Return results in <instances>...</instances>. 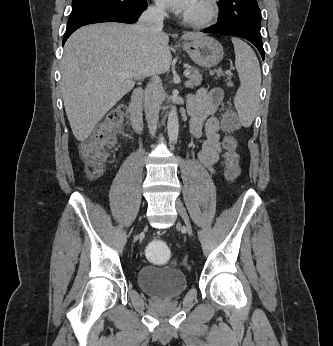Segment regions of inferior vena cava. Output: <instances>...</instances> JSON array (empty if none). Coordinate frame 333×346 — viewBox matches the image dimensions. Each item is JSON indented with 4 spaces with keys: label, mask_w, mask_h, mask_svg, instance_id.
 <instances>
[{
    "label": "inferior vena cava",
    "mask_w": 333,
    "mask_h": 346,
    "mask_svg": "<svg viewBox=\"0 0 333 346\" xmlns=\"http://www.w3.org/2000/svg\"><path fill=\"white\" fill-rule=\"evenodd\" d=\"M166 13L162 7H149L142 13L137 27L147 35H156L162 31L163 19ZM163 87L158 74L151 75V81L145 88L144 107L149 133L154 136L157 129Z\"/></svg>",
    "instance_id": "obj_1"
}]
</instances>
